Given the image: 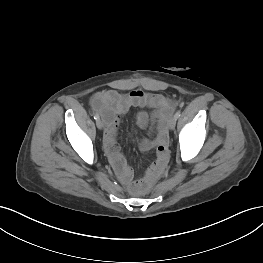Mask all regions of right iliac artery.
I'll return each instance as SVG.
<instances>
[{"label": "right iliac artery", "mask_w": 263, "mask_h": 263, "mask_svg": "<svg viewBox=\"0 0 263 263\" xmlns=\"http://www.w3.org/2000/svg\"><path fill=\"white\" fill-rule=\"evenodd\" d=\"M94 119L95 120H99V115L98 114H94Z\"/></svg>", "instance_id": "82829eb1"}]
</instances>
